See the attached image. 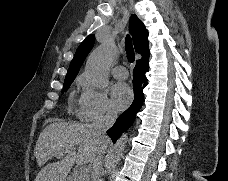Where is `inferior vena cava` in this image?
Masks as SVG:
<instances>
[{
    "mask_svg": "<svg viewBox=\"0 0 228 181\" xmlns=\"http://www.w3.org/2000/svg\"><path fill=\"white\" fill-rule=\"evenodd\" d=\"M116 119L117 113H114L111 109H104L92 125L94 133H97L100 139H105L108 129L114 125ZM104 153L105 151H101L100 155H97L93 159L91 181H102L100 177L102 175V159Z\"/></svg>",
    "mask_w": 228,
    "mask_h": 181,
    "instance_id": "obj_1",
    "label": "inferior vena cava"
}]
</instances>
